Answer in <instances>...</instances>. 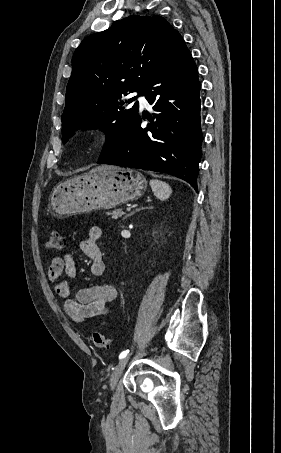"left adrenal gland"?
I'll use <instances>...</instances> for the list:
<instances>
[{"instance_id":"a2214340","label":"left adrenal gland","mask_w":281,"mask_h":453,"mask_svg":"<svg viewBox=\"0 0 281 453\" xmlns=\"http://www.w3.org/2000/svg\"><path fill=\"white\" fill-rule=\"evenodd\" d=\"M136 210H139V208H136ZM131 214H133V212H131ZM131 214H126L125 218H127V216H131Z\"/></svg>"}]
</instances>
